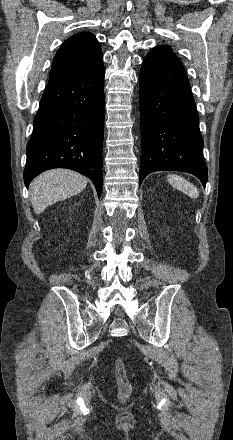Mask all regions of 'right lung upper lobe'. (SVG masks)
Instances as JSON below:
<instances>
[{"label": "right lung upper lobe", "instance_id": "obj_1", "mask_svg": "<svg viewBox=\"0 0 233 440\" xmlns=\"http://www.w3.org/2000/svg\"><path fill=\"white\" fill-rule=\"evenodd\" d=\"M103 56L96 37L81 32L68 38L56 53L48 85L86 77L103 67Z\"/></svg>", "mask_w": 233, "mask_h": 440}]
</instances>
